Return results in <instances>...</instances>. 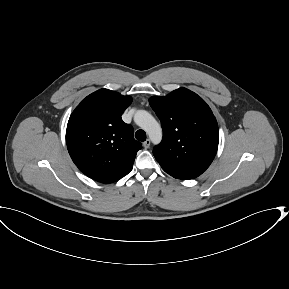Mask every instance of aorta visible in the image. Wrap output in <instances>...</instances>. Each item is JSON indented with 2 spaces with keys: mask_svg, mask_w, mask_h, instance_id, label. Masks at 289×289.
Segmentation results:
<instances>
[{
  "mask_svg": "<svg viewBox=\"0 0 289 289\" xmlns=\"http://www.w3.org/2000/svg\"><path fill=\"white\" fill-rule=\"evenodd\" d=\"M134 122L141 127L154 144L162 139V128L155 118L145 110H139L134 115Z\"/></svg>",
  "mask_w": 289,
  "mask_h": 289,
  "instance_id": "aorta-1",
  "label": "aorta"
}]
</instances>
